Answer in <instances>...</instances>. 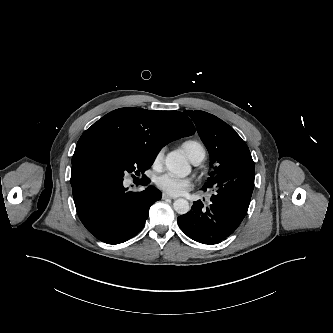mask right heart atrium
Returning a JSON list of instances; mask_svg holds the SVG:
<instances>
[{
  "mask_svg": "<svg viewBox=\"0 0 333 333\" xmlns=\"http://www.w3.org/2000/svg\"><path fill=\"white\" fill-rule=\"evenodd\" d=\"M163 150L159 151L155 157H154V160H153V165L155 167H159L161 164H162V161H163Z\"/></svg>",
  "mask_w": 333,
  "mask_h": 333,
  "instance_id": "right-heart-atrium-1",
  "label": "right heart atrium"
}]
</instances>
